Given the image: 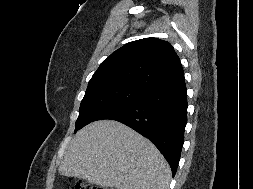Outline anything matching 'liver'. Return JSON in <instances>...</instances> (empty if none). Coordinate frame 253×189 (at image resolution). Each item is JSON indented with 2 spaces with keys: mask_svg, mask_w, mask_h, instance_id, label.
Here are the masks:
<instances>
[{
  "mask_svg": "<svg viewBox=\"0 0 253 189\" xmlns=\"http://www.w3.org/2000/svg\"><path fill=\"white\" fill-rule=\"evenodd\" d=\"M59 173L116 189H168L171 170L145 137L113 120H99L77 132Z\"/></svg>",
  "mask_w": 253,
  "mask_h": 189,
  "instance_id": "liver-1",
  "label": "liver"
}]
</instances>
